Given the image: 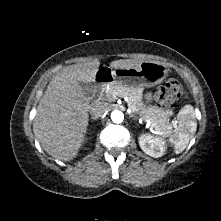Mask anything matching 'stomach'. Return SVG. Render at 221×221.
I'll use <instances>...</instances> for the list:
<instances>
[{
	"instance_id": "0dacf381",
	"label": "stomach",
	"mask_w": 221,
	"mask_h": 221,
	"mask_svg": "<svg viewBox=\"0 0 221 221\" xmlns=\"http://www.w3.org/2000/svg\"><path fill=\"white\" fill-rule=\"evenodd\" d=\"M166 64L156 61H143L131 68H117L113 71L116 83L127 88L153 87L162 83L168 76Z\"/></svg>"
}]
</instances>
